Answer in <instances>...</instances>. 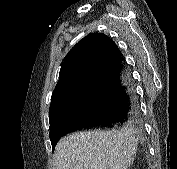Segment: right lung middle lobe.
Masks as SVG:
<instances>
[{"mask_svg": "<svg viewBox=\"0 0 177 169\" xmlns=\"http://www.w3.org/2000/svg\"><path fill=\"white\" fill-rule=\"evenodd\" d=\"M90 89V83L85 82L75 88L71 94L50 106V138L60 121L79 113L86 106L91 98Z\"/></svg>", "mask_w": 177, "mask_h": 169, "instance_id": "dd1d6c3e", "label": "right lung middle lobe"}]
</instances>
